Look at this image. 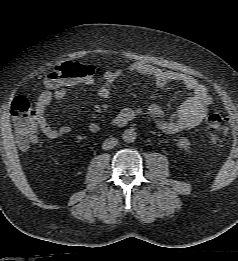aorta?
Here are the masks:
<instances>
[{
	"mask_svg": "<svg viewBox=\"0 0 238 261\" xmlns=\"http://www.w3.org/2000/svg\"><path fill=\"white\" fill-rule=\"evenodd\" d=\"M136 132L134 131V129H127L124 131L122 138L124 140V142L126 143H132L136 140Z\"/></svg>",
	"mask_w": 238,
	"mask_h": 261,
	"instance_id": "1",
	"label": "aorta"
}]
</instances>
